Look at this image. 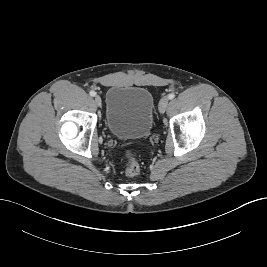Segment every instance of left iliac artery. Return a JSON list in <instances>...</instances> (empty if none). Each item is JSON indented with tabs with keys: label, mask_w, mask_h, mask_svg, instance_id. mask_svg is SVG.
I'll use <instances>...</instances> for the list:
<instances>
[{
	"label": "left iliac artery",
	"mask_w": 267,
	"mask_h": 267,
	"mask_svg": "<svg viewBox=\"0 0 267 267\" xmlns=\"http://www.w3.org/2000/svg\"><path fill=\"white\" fill-rule=\"evenodd\" d=\"M174 97H175V94H174V93H170V94L168 95V98H169L170 100H172Z\"/></svg>",
	"instance_id": "obj_1"
}]
</instances>
